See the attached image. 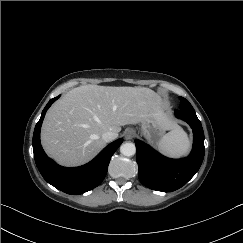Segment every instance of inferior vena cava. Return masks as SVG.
<instances>
[{"label": "inferior vena cava", "instance_id": "1", "mask_svg": "<svg viewBox=\"0 0 243 243\" xmlns=\"http://www.w3.org/2000/svg\"><path fill=\"white\" fill-rule=\"evenodd\" d=\"M116 137H117V134L114 133V132H112V131L105 132V133L102 135V139H103L105 142H110V141L114 140Z\"/></svg>", "mask_w": 243, "mask_h": 243}]
</instances>
